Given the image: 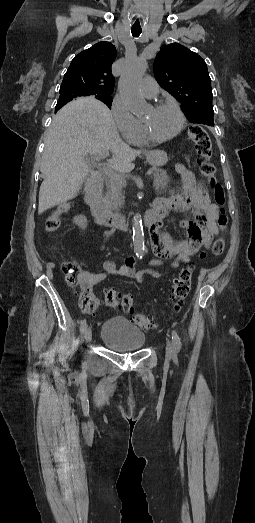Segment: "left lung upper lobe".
Segmentation results:
<instances>
[{"label":"left lung upper lobe","mask_w":255,"mask_h":523,"mask_svg":"<svg viewBox=\"0 0 255 523\" xmlns=\"http://www.w3.org/2000/svg\"><path fill=\"white\" fill-rule=\"evenodd\" d=\"M154 75L181 102L190 122L214 126L211 79L198 54L178 43L163 45L154 61Z\"/></svg>","instance_id":"5c2ea615"}]
</instances>
